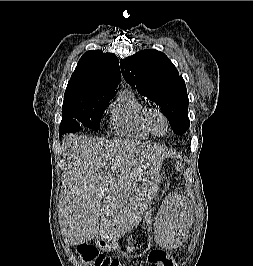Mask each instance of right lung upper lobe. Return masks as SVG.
I'll return each mask as SVG.
<instances>
[{
	"label": "right lung upper lobe",
	"instance_id": "1",
	"mask_svg": "<svg viewBox=\"0 0 253 266\" xmlns=\"http://www.w3.org/2000/svg\"><path fill=\"white\" fill-rule=\"evenodd\" d=\"M119 82L120 68L115 54L87 51L68 82L63 104L86 103L114 96Z\"/></svg>",
	"mask_w": 253,
	"mask_h": 266
}]
</instances>
